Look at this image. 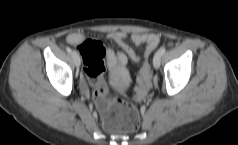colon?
I'll return each mask as SVG.
<instances>
[{"label": "colon", "instance_id": "colon-1", "mask_svg": "<svg viewBox=\"0 0 238 145\" xmlns=\"http://www.w3.org/2000/svg\"><path fill=\"white\" fill-rule=\"evenodd\" d=\"M77 48L83 59L84 71L94 88V99L100 110L105 128L113 132L137 130L140 124L138 110L122 100L111 97L102 81L105 57L104 45L98 40L85 39ZM149 87L150 67L149 63L145 62L138 78L136 97L142 98Z\"/></svg>", "mask_w": 238, "mask_h": 145}]
</instances>
